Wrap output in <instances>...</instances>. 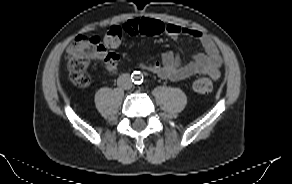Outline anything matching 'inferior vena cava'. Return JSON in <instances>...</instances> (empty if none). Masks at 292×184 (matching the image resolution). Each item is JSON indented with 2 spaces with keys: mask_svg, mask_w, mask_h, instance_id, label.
<instances>
[{
  "mask_svg": "<svg viewBox=\"0 0 292 184\" xmlns=\"http://www.w3.org/2000/svg\"><path fill=\"white\" fill-rule=\"evenodd\" d=\"M117 85L125 90L132 88V81L129 74H123L117 79Z\"/></svg>",
  "mask_w": 292,
  "mask_h": 184,
  "instance_id": "obj_1",
  "label": "inferior vena cava"
}]
</instances>
